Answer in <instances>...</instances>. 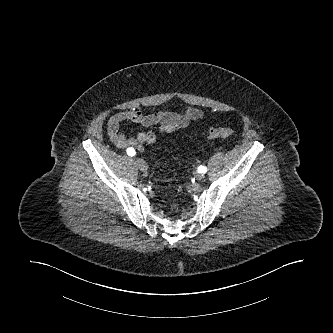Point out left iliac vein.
<instances>
[{"mask_svg": "<svg viewBox=\"0 0 333 333\" xmlns=\"http://www.w3.org/2000/svg\"><path fill=\"white\" fill-rule=\"evenodd\" d=\"M195 178H196L198 181H201V180L204 179V174L199 173V172H196V173H195Z\"/></svg>", "mask_w": 333, "mask_h": 333, "instance_id": "left-iliac-vein-1", "label": "left iliac vein"}]
</instances>
